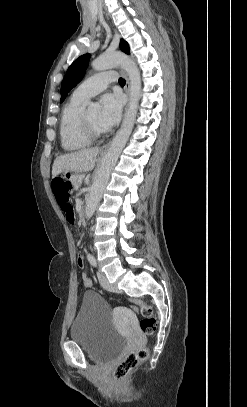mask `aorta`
<instances>
[{"mask_svg":"<svg viewBox=\"0 0 247 407\" xmlns=\"http://www.w3.org/2000/svg\"><path fill=\"white\" fill-rule=\"evenodd\" d=\"M115 66H120L128 74L130 80V102L125 112L121 128L114 137L99 169L96 172L94 182L90 189V194L86 200L85 215L87 219H90L93 216L109 181L110 174L129 139L135 123L138 103L140 100V71L136 63L129 56L121 52L104 53L92 62V67L97 71L110 69ZM95 106L96 105L93 103H90L89 105L90 108Z\"/></svg>","mask_w":247,"mask_h":407,"instance_id":"762f6f07","label":"aorta"}]
</instances>
